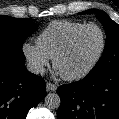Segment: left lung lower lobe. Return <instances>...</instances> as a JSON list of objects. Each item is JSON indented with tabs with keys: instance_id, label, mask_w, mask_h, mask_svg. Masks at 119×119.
Returning a JSON list of instances; mask_svg holds the SVG:
<instances>
[{
	"instance_id": "0a47b994",
	"label": "left lung lower lobe",
	"mask_w": 119,
	"mask_h": 119,
	"mask_svg": "<svg viewBox=\"0 0 119 119\" xmlns=\"http://www.w3.org/2000/svg\"><path fill=\"white\" fill-rule=\"evenodd\" d=\"M57 119H119V67L57 89Z\"/></svg>"
}]
</instances>
